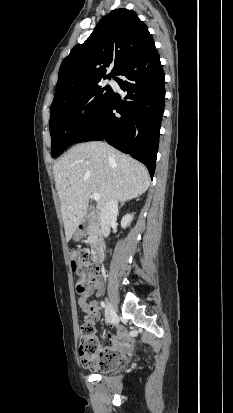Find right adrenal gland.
<instances>
[{
	"label": "right adrenal gland",
	"instance_id": "obj_1",
	"mask_svg": "<svg viewBox=\"0 0 233 413\" xmlns=\"http://www.w3.org/2000/svg\"><path fill=\"white\" fill-rule=\"evenodd\" d=\"M124 202H122L121 206H123Z\"/></svg>",
	"mask_w": 233,
	"mask_h": 413
}]
</instances>
